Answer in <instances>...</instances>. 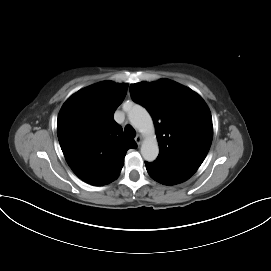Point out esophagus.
I'll list each match as a JSON object with an SVG mask.
<instances>
[{"label": "esophagus", "mask_w": 271, "mask_h": 271, "mask_svg": "<svg viewBox=\"0 0 271 271\" xmlns=\"http://www.w3.org/2000/svg\"><path fill=\"white\" fill-rule=\"evenodd\" d=\"M142 136L141 135H137L135 137V142L137 143V145H140L142 143Z\"/></svg>", "instance_id": "1"}]
</instances>
